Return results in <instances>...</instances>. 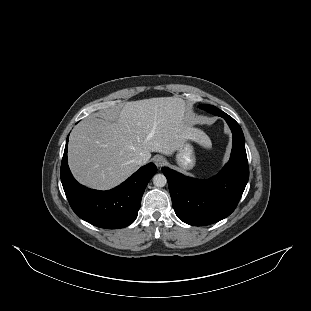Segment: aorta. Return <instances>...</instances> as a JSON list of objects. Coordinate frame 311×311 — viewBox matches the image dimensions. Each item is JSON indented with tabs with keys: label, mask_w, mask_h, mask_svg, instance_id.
<instances>
[{
	"label": "aorta",
	"mask_w": 311,
	"mask_h": 311,
	"mask_svg": "<svg viewBox=\"0 0 311 311\" xmlns=\"http://www.w3.org/2000/svg\"><path fill=\"white\" fill-rule=\"evenodd\" d=\"M152 182L154 186L162 188L167 184V178L164 174H156L153 176Z\"/></svg>",
	"instance_id": "762f6f07"
}]
</instances>
